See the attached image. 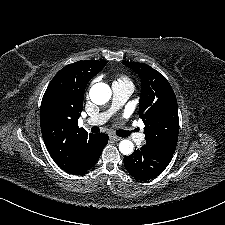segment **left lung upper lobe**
Wrapping results in <instances>:
<instances>
[{
    "label": "left lung upper lobe",
    "mask_w": 225,
    "mask_h": 225,
    "mask_svg": "<svg viewBox=\"0 0 225 225\" xmlns=\"http://www.w3.org/2000/svg\"><path fill=\"white\" fill-rule=\"evenodd\" d=\"M141 79L140 115L146 146L174 153L179 133L177 100L167 79L147 64L123 62Z\"/></svg>",
    "instance_id": "5c2ea615"
}]
</instances>
